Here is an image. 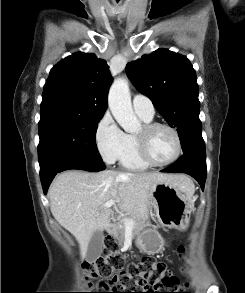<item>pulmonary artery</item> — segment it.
Here are the masks:
<instances>
[{
  "instance_id": "pulmonary-artery-1",
  "label": "pulmonary artery",
  "mask_w": 245,
  "mask_h": 293,
  "mask_svg": "<svg viewBox=\"0 0 245 293\" xmlns=\"http://www.w3.org/2000/svg\"><path fill=\"white\" fill-rule=\"evenodd\" d=\"M133 108L137 115L152 119L155 114V108L152 101L145 95L136 94L133 97Z\"/></svg>"
}]
</instances>
